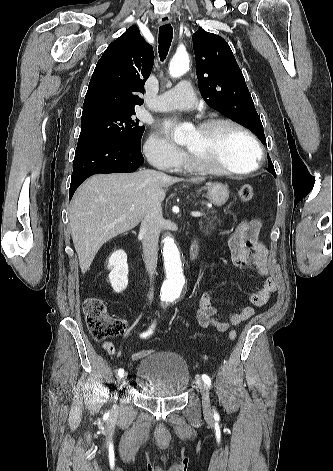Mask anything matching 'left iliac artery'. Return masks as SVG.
<instances>
[{
	"label": "left iliac artery",
	"mask_w": 333,
	"mask_h": 471,
	"mask_svg": "<svg viewBox=\"0 0 333 471\" xmlns=\"http://www.w3.org/2000/svg\"><path fill=\"white\" fill-rule=\"evenodd\" d=\"M202 379L209 387L211 386V379L208 375L203 374ZM214 415L217 416V413L215 411H214Z\"/></svg>",
	"instance_id": "left-iliac-artery-1"
}]
</instances>
